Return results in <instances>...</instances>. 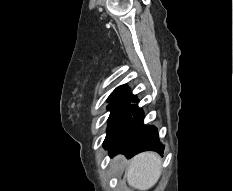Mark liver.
<instances>
[{"mask_svg":"<svg viewBox=\"0 0 233 191\" xmlns=\"http://www.w3.org/2000/svg\"><path fill=\"white\" fill-rule=\"evenodd\" d=\"M115 162L121 160L115 157ZM162 159L155 152H143L136 155L128 165L127 180L130 186L138 191L152 188L161 175Z\"/></svg>","mask_w":233,"mask_h":191,"instance_id":"1","label":"liver"}]
</instances>
